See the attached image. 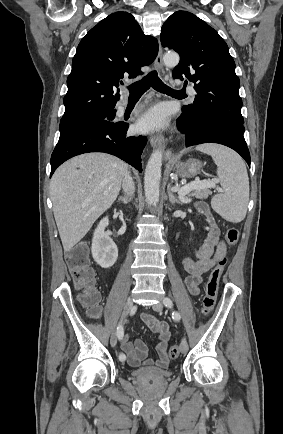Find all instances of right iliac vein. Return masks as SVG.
Instances as JSON below:
<instances>
[{"instance_id": "right-iliac-vein-1", "label": "right iliac vein", "mask_w": 283, "mask_h": 434, "mask_svg": "<svg viewBox=\"0 0 283 434\" xmlns=\"http://www.w3.org/2000/svg\"><path fill=\"white\" fill-rule=\"evenodd\" d=\"M134 307V302L131 298H128L125 306H124V310L122 313V320L132 311ZM110 344L111 346L114 348L117 344V332L113 331L111 338H110Z\"/></svg>"}]
</instances>
